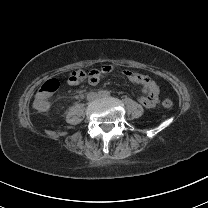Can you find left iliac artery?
<instances>
[{"label":"left iliac artery","instance_id":"obj_1","mask_svg":"<svg viewBox=\"0 0 208 208\" xmlns=\"http://www.w3.org/2000/svg\"><path fill=\"white\" fill-rule=\"evenodd\" d=\"M105 95H106V96H109V95H110V93H109V92H106V93H105Z\"/></svg>","mask_w":208,"mask_h":208}]
</instances>
